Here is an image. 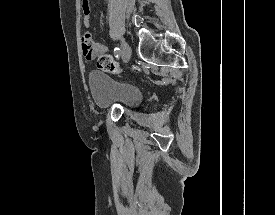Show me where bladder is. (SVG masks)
Instances as JSON below:
<instances>
[{
    "label": "bladder",
    "mask_w": 275,
    "mask_h": 215,
    "mask_svg": "<svg viewBox=\"0 0 275 215\" xmlns=\"http://www.w3.org/2000/svg\"><path fill=\"white\" fill-rule=\"evenodd\" d=\"M88 77L94 103L99 109L115 105L133 107L142 102V90L135 84L115 81L99 70L90 71Z\"/></svg>",
    "instance_id": "31cf9c89"
}]
</instances>
